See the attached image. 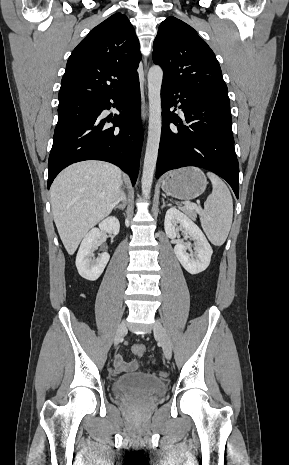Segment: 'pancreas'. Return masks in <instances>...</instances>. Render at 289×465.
<instances>
[{"label": "pancreas", "instance_id": "cf45deb5", "mask_svg": "<svg viewBox=\"0 0 289 465\" xmlns=\"http://www.w3.org/2000/svg\"><path fill=\"white\" fill-rule=\"evenodd\" d=\"M184 212L192 219H196V211L193 209H184Z\"/></svg>", "mask_w": 289, "mask_h": 465}]
</instances>
